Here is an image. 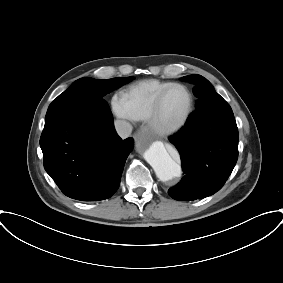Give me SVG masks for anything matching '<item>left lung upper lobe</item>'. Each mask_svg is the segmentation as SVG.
Listing matches in <instances>:
<instances>
[{"mask_svg":"<svg viewBox=\"0 0 283 283\" xmlns=\"http://www.w3.org/2000/svg\"><path fill=\"white\" fill-rule=\"evenodd\" d=\"M183 81L193 83L195 87L193 92L196 97H198L197 105H205L211 103L213 98H215L218 93L215 92L211 83L201 75H189L182 77ZM229 126L226 130L218 133L219 136L224 138H237L238 139V128L236 121L233 115V112L230 116Z\"/></svg>","mask_w":283,"mask_h":283,"instance_id":"5c2ea615","label":"left lung upper lobe"}]
</instances>
